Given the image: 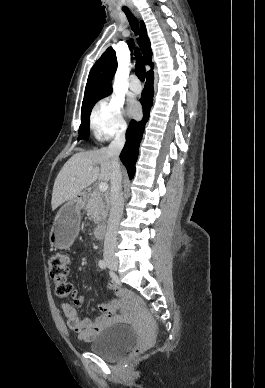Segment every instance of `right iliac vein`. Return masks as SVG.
Returning a JSON list of instances; mask_svg holds the SVG:
<instances>
[{"label": "right iliac vein", "instance_id": "63e3f726", "mask_svg": "<svg viewBox=\"0 0 265 388\" xmlns=\"http://www.w3.org/2000/svg\"><path fill=\"white\" fill-rule=\"evenodd\" d=\"M105 260H106V263H107V265L109 266L110 269H112L114 271L118 270V261H117V259H115L113 257H110V256H106Z\"/></svg>", "mask_w": 265, "mask_h": 388}]
</instances>
